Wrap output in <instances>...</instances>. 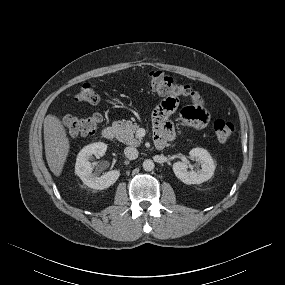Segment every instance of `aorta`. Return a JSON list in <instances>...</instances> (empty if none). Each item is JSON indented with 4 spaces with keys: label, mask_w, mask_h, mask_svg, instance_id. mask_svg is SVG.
<instances>
[{
    "label": "aorta",
    "mask_w": 285,
    "mask_h": 285,
    "mask_svg": "<svg viewBox=\"0 0 285 285\" xmlns=\"http://www.w3.org/2000/svg\"><path fill=\"white\" fill-rule=\"evenodd\" d=\"M154 167H155L154 162L150 159H146L143 162V169L145 171H152L154 169Z\"/></svg>",
    "instance_id": "aorta-1"
}]
</instances>
